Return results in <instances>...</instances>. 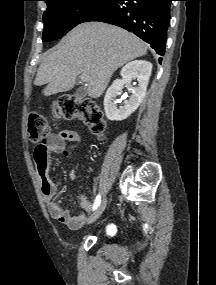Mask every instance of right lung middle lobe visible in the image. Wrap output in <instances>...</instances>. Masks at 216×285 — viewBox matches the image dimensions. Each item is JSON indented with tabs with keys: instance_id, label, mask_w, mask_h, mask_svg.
<instances>
[{
	"instance_id": "1",
	"label": "right lung middle lobe",
	"mask_w": 216,
	"mask_h": 285,
	"mask_svg": "<svg viewBox=\"0 0 216 285\" xmlns=\"http://www.w3.org/2000/svg\"><path fill=\"white\" fill-rule=\"evenodd\" d=\"M108 0H50L44 12L43 42L63 37Z\"/></svg>"
}]
</instances>
